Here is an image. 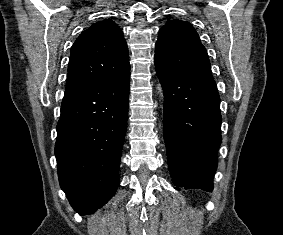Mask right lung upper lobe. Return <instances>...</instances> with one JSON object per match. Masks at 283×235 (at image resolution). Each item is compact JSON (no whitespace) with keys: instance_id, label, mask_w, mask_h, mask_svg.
Here are the masks:
<instances>
[{"instance_id":"obj_1","label":"right lung upper lobe","mask_w":283,"mask_h":235,"mask_svg":"<svg viewBox=\"0 0 283 235\" xmlns=\"http://www.w3.org/2000/svg\"><path fill=\"white\" fill-rule=\"evenodd\" d=\"M129 71L122 30L110 19L96 22L72 46L65 93L116 79Z\"/></svg>"}]
</instances>
